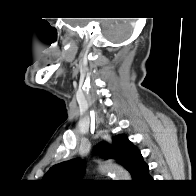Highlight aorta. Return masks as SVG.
<instances>
[{"label": "aorta", "instance_id": "obj_1", "mask_svg": "<svg viewBox=\"0 0 196 196\" xmlns=\"http://www.w3.org/2000/svg\"><path fill=\"white\" fill-rule=\"evenodd\" d=\"M99 169L103 172L111 173L117 180H130V174L121 166L106 162L99 166Z\"/></svg>", "mask_w": 196, "mask_h": 196}]
</instances>
